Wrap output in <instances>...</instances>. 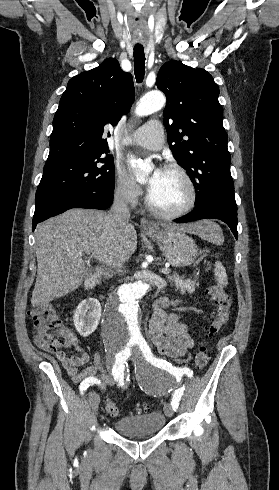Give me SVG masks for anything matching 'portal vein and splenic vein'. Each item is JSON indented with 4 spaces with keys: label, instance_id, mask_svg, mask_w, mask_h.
<instances>
[{
    "label": "portal vein and splenic vein",
    "instance_id": "obj_1",
    "mask_svg": "<svg viewBox=\"0 0 279 490\" xmlns=\"http://www.w3.org/2000/svg\"><path fill=\"white\" fill-rule=\"evenodd\" d=\"M97 260H100V262H105L107 266H117V264H113L112 260H107V256H97ZM162 274H169V268H164V270H162Z\"/></svg>",
    "mask_w": 279,
    "mask_h": 490
}]
</instances>
